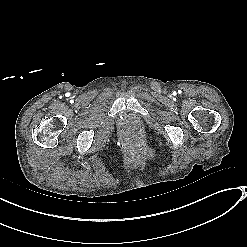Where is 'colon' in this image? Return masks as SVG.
<instances>
[{"mask_svg": "<svg viewBox=\"0 0 247 247\" xmlns=\"http://www.w3.org/2000/svg\"><path fill=\"white\" fill-rule=\"evenodd\" d=\"M146 155L148 156V158H152L154 156V152L149 149L147 152H146Z\"/></svg>", "mask_w": 247, "mask_h": 247, "instance_id": "1", "label": "colon"}]
</instances>
